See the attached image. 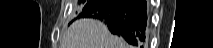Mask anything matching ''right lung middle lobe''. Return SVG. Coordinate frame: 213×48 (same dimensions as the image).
<instances>
[{
  "mask_svg": "<svg viewBox=\"0 0 213 48\" xmlns=\"http://www.w3.org/2000/svg\"><path fill=\"white\" fill-rule=\"evenodd\" d=\"M85 3H86V0H79V2H78V4L81 6H83ZM78 18H79V16H78Z\"/></svg>",
  "mask_w": 213,
  "mask_h": 48,
  "instance_id": "right-lung-middle-lobe-1",
  "label": "right lung middle lobe"
}]
</instances>
